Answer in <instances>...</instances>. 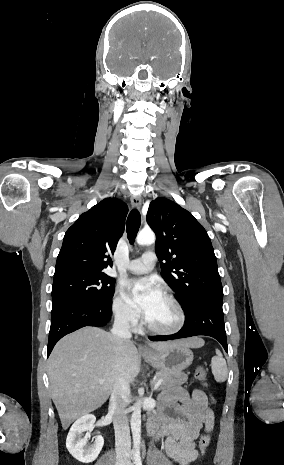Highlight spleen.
<instances>
[{"label":"spleen","mask_w":284,"mask_h":465,"mask_svg":"<svg viewBox=\"0 0 284 465\" xmlns=\"http://www.w3.org/2000/svg\"><path fill=\"white\" fill-rule=\"evenodd\" d=\"M211 369L217 383L226 381L228 375L227 363L218 349H216V357H212Z\"/></svg>","instance_id":"obj_1"}]
</instances>
